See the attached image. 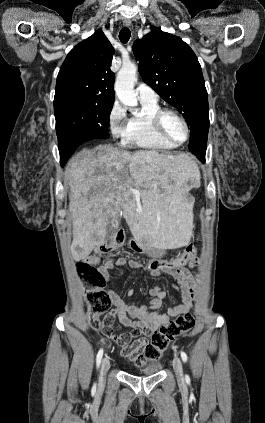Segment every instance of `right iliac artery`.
<instances>
[{"instance_id": "right-iliac-artery-1", "label": "right iliac artery", "mask_w": 265, "mask_h": 423, "mask_svg": "<svg viewBox=\"0 0 265 423\" xmlns=\"http://www.w3.org/2000/svg\"><path fill=\"white\" fill-rule=\"evenodd\" d=\"M102 356H103V349H100L96 357L97 368H99L100 366Z\"/></svg>"}]
</instances>
